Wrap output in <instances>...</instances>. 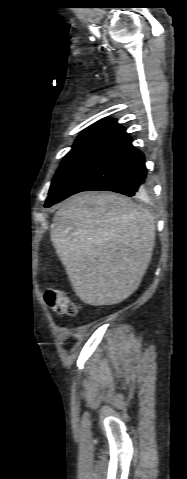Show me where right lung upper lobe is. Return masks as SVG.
Returning a JSON list of instances; mask_svg holds the SVG:
<instances>
[{"label": "right lung upper lobe", "instance_id": "obj_1", "mask_svg": "<svg viewBox=\"0 0 187 479\" xmlns=\"http://www.w3.org/2000/svg\"><path fill=\"white\" fill-rule=\"evenodd\" d=\"M90 127H102V128H108V129L121 131V132L125 131L124 127H122L120 124L117 123L115 119H112V118L102 119L96 122L95 124L91 125Z\"/></svg>", "mask_w": 187, "mask_h": 479}]
</instances>
